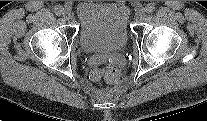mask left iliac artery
<instances>
[{"label": "left iliac artery", "instance_id": "1", "mask_svg": "<svg viewBox=\"0 0 207 121\" xmlns=\"http://www.w3.org/2000/svg\"><path fill=\"white\" fill-rule=\"evenodd\" d=\"M145 10H146V12H147L148 14H151V13L154 12L155 7H154V5L149 4V5L146 7Z\"/></svg>", "mask_w": 207, "mask_h": 121}]
</instances>
